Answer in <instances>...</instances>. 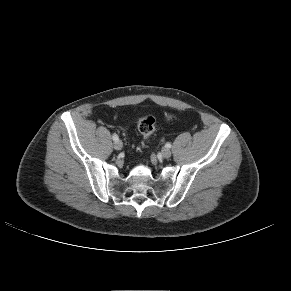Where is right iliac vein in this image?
Masks as SVG:
<instances>
[{"mask_svg":"<svg viewBox=\"0 0 291 291\" xmlns=\"http://www.w3.org/2000/svg\"><path fill=\"white\" fill-rule=\"evenodd\" d=\"M122 147H123V144H122V142H121L120 140L115 141V143H114V148H115L116 150H121Z\"/></svg>","mask_w":291,"mask_h":291,"instance_id":"obj_1","label":"right iliac vein"}]
</instances>
